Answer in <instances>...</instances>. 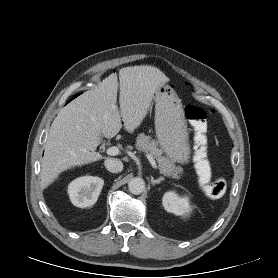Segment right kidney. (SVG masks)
<instances>
[{"instance_id":"obj_1","label":"right kidney","mask_w":278,"mask_h":278,"mask_svg":"<svg viewBox=\"0 0 278 278\" xmlns=\"http://www.w3.org/2000/svg\"><path fill=\"white\" fill-rule=\"evenodd\" d=\"M104 180L99 177L83 176L73 180L68 186V194L72 204L79 208L92 206L96 203Z\"/></svg>"}]
</instances>
